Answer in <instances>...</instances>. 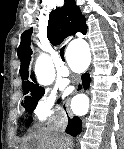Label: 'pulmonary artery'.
<instances>
[{
    "instance_id": "1",
    "label": "pulmonary artery",
    "mask_w": 124,
    "mask_h": 149,
    "mask_svg": "<svg viewBox=\"0 0 124 149\" xmlns=\"http://www.w3.org/2000/svg\"><path fill=\"white\" fill-rule=\"evenodd\" d=\"M60 73L62 74V75H68V73H69V69H68V67H63V68H61L60 69Z\"/></svg>"
}]
</instances>
